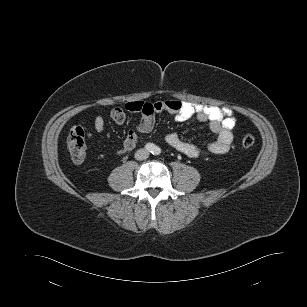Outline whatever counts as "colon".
<instances>
[{"mask_svg":"<svg viewBox=\"0 0 307 307\" xmlns=\"http://www.w3.org/2000/svg\"><path fill=\"white\" fill-rule=\"evenodd\" d=\"M255 138L251 134H246L241 138V145L244 148H250L254 145ZM68 149L74 162L80 163L84 160L86 154L85 132L81 126H75L71 129L67 140Z\"/></svg>","mask_w":307,"mask_h":307,"instance_id":"obj_1","label":"colon"}]
</instances>
